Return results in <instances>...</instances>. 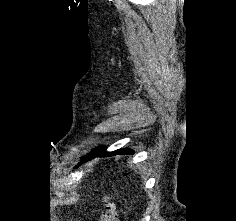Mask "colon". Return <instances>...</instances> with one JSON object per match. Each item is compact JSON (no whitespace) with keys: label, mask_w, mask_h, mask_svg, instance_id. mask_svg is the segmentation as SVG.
I'll list each match as a JSON object with an SVG mask.
<instances>
[{"label":"colon","mask_w":236,"mask_h":221,"mask_svg":"<svg viewBox=\"0 0 236 221\" xmlns=\"http://www.w3.org/2000/svg\"><path fill=\"white\" fill-rule=\"evenodd\" d=\"M100 221H119L117 204L110 198H105L104 212Z\"/></svg>","instance_id":"1"}]
</instances>
